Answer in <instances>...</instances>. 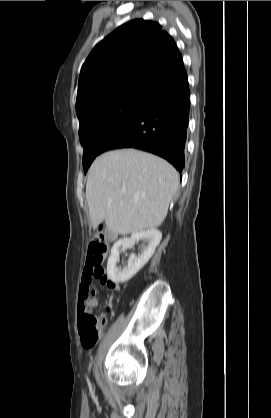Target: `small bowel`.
<instances>
[{
    "instance_id": "obj_1",
    "label": "small bowel",
    "mask_w": 271,
    "mask_h": 418,
    "mask_svg": "<svg viewBox=\"0 0 271 418\" xmlns=\"http://www.w3.org/2000/svg\"><path fill=\"white\" fill-rule=\"evenodd\" d=\"M102 283L105 284L109 288H113V289H117L118 288L117 285L114 282H112V281H110L108 279H107L106 282H102ZM89 286H90V281L87 278V271H86V268H85L84 271H83V275H82V283H81V286H80V293H79V298H80V301H79V312L82 309H87V310H90L91 311L92 308L97 305V300L95 298L89 299L88 301H85L83 299L84 291L87 288H89Z\"/></svg>"
}]
</instances>
